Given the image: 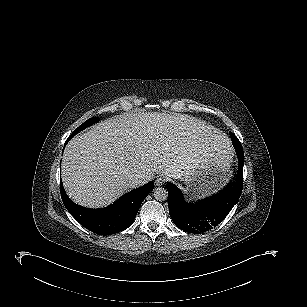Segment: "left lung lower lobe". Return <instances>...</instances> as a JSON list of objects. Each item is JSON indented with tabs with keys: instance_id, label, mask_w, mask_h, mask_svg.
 Listing matches in <instances>:
<instances>
[{
	"instance_id": "obj_1",
	"label": "left lung lower lobe",
	"mask_w": 307,
	"mask_h": 307,
	"mask_svg": "<svg viewBox=\"0 0 307 307\" xmlns=\"http://www.w3.org/2000/svg\"><path fill=\"white\" fill-rule=\"evenodd\" d=\"M239 168L236 181L208 198L187 204L182 192L167 182L169 213L174 224L181 230L201 234L220 224L238 201L243 187L244 157L238 156Z\"/></svg>"
}]
</instances>
